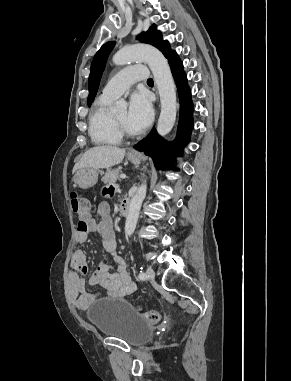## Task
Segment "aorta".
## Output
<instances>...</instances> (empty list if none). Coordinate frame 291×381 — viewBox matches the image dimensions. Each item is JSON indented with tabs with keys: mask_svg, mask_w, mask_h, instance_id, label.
Wrapping results in <instances>:
<instances>
[{
	"mask_svg": "<svg viewBox=\"0 0 291 381\" xmlns=\"http://www.w3.org/2000/svg\"><path fill=\"white\" fill-rule=\"evenodd\" d=\"M134 61H144L150 67L154 81L160 95L161 111L157 124V132L161 136L167 135L173 128L177 113V98L175 83L170 67L163 54L153 46L136 44L121 48L114 56L116 65H125ZM126 108V103L119 101L116 109ZM146 184H142L133 196L125 223V234H133L138 221L142 202L146 196Z\"/></svg>",
	"mask_w": 291,
	"mask_h": 381,
	"instance_id": "1",
	"label": "aorta"
}]
</instances>
